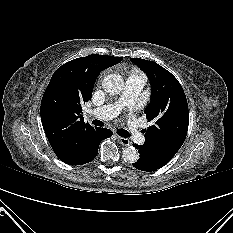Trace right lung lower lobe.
I'll list each match as a JSON object with an SVG mask.
<instances>
[{"label": "right lung lower lobe", "instance_id": "98d812e1", "mask_svg": "<svg viewBox=\"0 0 233 233\" xmlns=\"http://www.w3.org/2000/svg\"><path fill=\"white\" fill-rule=\"evenodd\" d=\"M113 132L109 129L94 128L81 140L76 151L63 159H60L69 165H81L92 161L98 153V147L103 139L112 136Z\"/></svg>", "mask_w": 233, "mask_h": 233}]
</instances>
